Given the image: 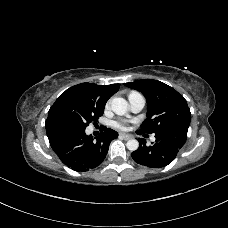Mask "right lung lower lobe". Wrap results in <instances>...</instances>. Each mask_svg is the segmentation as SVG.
Returning <instances> with one entry per match:
<instances>
[{"instance_id":"right-lung-lower-lobe-1","label":"right lung lower lobe","mask_w":228,"mask_h":228,"mask_svg":"<svg viewBox=\"0 0 228 228\" xmlns=\"http://www.w3.org/2000/svg\"><path fill=\"white\" fill-rule=\"evenodd\" d=\"M53 151L59 159L75 171L85 172L99 166L107 155L111 140L118 137L112 129L96 137L85 134V129L68 124H45Z\"/></svg>"}]
</instances>
